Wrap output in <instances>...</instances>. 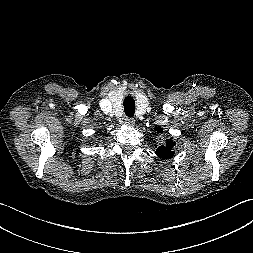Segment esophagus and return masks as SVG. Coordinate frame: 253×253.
<instances>
[{"label": "esophagus", "mask_w": 253, "mask_h": 253, "mask_svg": "<svg viewBox=\"0 0 253 253\" xmlns=\"http://www.w3.org/2000/svg\"><path fill=\"white\" fill-rule=\"evenodd\" d=\"M125 124L127 126H133L135 124V120L133 118H126L125 119Z\"/></svg>", "instance_id": "1"}]
</instances>
